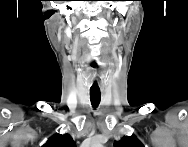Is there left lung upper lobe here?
<instances>
[{"label": "left lung upper lobe", "instance_id": "5c2ea615", "mask_svg": "<svg viewBox=\"0 0 188 147\" xmlns=\"http://www.w3.org/2000/svg\"><path fill=\"white\" fill-rule=\"evenodd\" d=\"M115 147H143L135 136H124L120 141L114 142Z\"/></svg>", "mask_w": 188, "mask_h": 147}]
</instances>
